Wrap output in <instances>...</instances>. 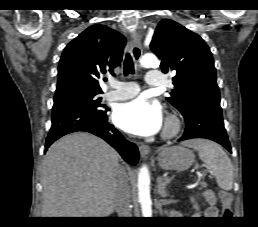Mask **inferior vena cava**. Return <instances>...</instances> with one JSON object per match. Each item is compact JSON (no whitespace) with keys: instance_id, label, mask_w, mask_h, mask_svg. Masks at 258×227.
I'll list each match as a JSON object with an SVG mask.
<instances>
[{"instance_id":"inferior-vena-cava-1","label":"inferior vena cava","mask_w":258,"mask_h":227,"mask_svg":"<svg viewBox=\"0 0 258 227\" xmlns=\"http://www.w3.org/2000/svg\"><path fill=\"white\" fill-rule=\"evenodd\" d=\"M130 202L131 192L127 174L125 169L120 166L116 172L115 193V208L119 217H132Z\"/></svg>"}]
</instances>
